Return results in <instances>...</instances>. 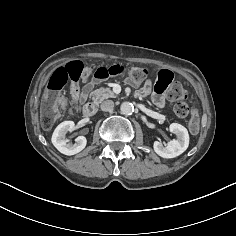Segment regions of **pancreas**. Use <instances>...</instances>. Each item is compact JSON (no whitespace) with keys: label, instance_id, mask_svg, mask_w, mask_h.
Wrapping results in <instances>:
<instances>
[{"label":"pancreas","instance_id":"pancreas-1","mask_svg":"<svg viewBox=\"0 0 236 236\" xmlns=\"http://www.w3.org/2000/svg\"><path fill=\"white\" fill-rule=\"evenodd\" d=\"M93 103L95 105L100 104L103 100L108 98H116L117 95L109 88H99L91 93Z\"/></svg>","mask_w":236,"mask_h":236}]
</instances>
